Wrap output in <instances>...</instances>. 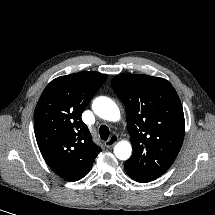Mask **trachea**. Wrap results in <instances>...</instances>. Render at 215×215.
<instances>
[{
    "label": "trachea",
    "mask_w": 215,
    "mask_h": 215,
    "mask_svg": "<svg viewBox=\"0 0 215 215\" xmlns=\"http://www.w3.org/2000/svg\"><path fill=\"white\" fill-rule=\"evenodd\" d=\"M109 129L107 126L105 125H102L100 128H99V134H100V137L102 140H107L108 137H109Z\"/></svg>",
    "instance_id": "obj_1"
}]
</instances>
